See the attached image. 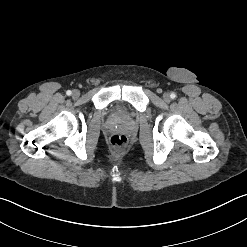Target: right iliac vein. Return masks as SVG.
Returning a JSON list of instances; mask_svg holds the SVG:
<instances>
[{"label":"right iliac vein","mask_w":247,"mask_h":247,"mask_svg":"<svg viewBox=\"0 0 247 247\" xmlns=\"http://www.w3.org/2000/svg\"><path fill=\"white\" fill-rule=\"evenodd\" d=\"M79 96H80V91L77 90V89L73 90V92H72V97H73L74 99H77Z\"/></svg>","instance_id":"1"}]
</instances>
